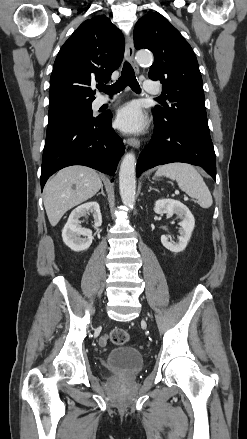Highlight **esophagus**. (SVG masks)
<instances>
[{
	"label": "esophagus",
	"instance_id": "esophagus-1",
	"mask_svg": "<svg viewBox=\"0 0 247 439\" xmlns=\"http://www.w3.org/2000/svg\"><path fill=\"white\" fill-rule=\"evenodd\" d=\"M125 58L131 63L136 73H139V67L134 60V43L133 38L128 36L125 41ZM127 144L135 149L140 147V141L136 138H128L126 140Z\"/></svg>",
	"mask_w": 247,
	"mask_h": 439
}]
</instances>
